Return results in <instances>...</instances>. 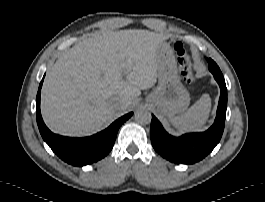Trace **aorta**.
Returning <instances> with one entry per match:
<instances>
[{"mask_svg":"<svg viewBox=\"0 0 265 202\" xmlns=\"http://www.w3.org/2000/svg\"><path fill=\"white\" fill-rule=\"evenodd\" d=\"M135 121L140 124H149L151 122L152 116L151 113L144 107H141L135 112Z\"/></svg>","mask_w":265,"mask_h":202,"instance_id":"aorta-1","label":"aorta"}]
</instances>
